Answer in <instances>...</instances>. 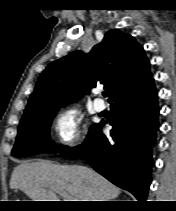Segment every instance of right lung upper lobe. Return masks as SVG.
<instances>
[{"label":"right lung upper lobe","instance_id":"1","mask_svg":"<svg viewBox=\"0 0 176 211\" xmlns=\"http://www.w3.org/2000/svg\"><path fill=\"white\" fill-rule=\"evenodd\" d=\"M152 79L143 48L128 34L109 30L88 53L74 51L50 63L38 78L23 117L66 105L72 98L103 84L111 105L142 91Z\"/></svg>","mask_w":176,"mask_h":211}]
</instances>
